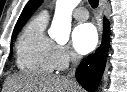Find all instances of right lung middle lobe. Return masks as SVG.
Segmentation results:
<instances>
[{
  "instance_id": "dd1d6c3e",
  "label": "right lung middle lobe",
  "mask_w": 127,
  "mask_h": 92,
  "mask_svg": "<svg viewBox=\"0 0 127 92\" xmlns=\"http://www.w3.org/2000/svg\"><path fill=\"white\" fill-rule=\"evenodd\" d=\"M17 33H18V32L14 33V34L12 35V40L16 37ZM10 57H11V54H10Z\"/></svg>"
}]
</instances>
